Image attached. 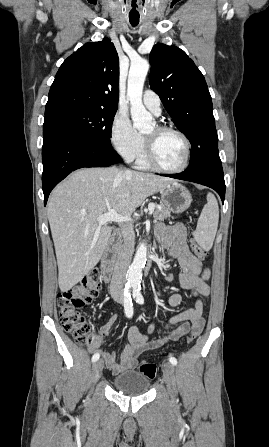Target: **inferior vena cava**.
Returning a JSON list of instances; mask_svg holds the SVG:
<instances>
[{
    "mask_svg": "<svg viewBox=\"0 0 269 447\" xmlns=\"http://www.w3.org/2000/svg\"><path fill=\"white\" fill-rule=\"evenodd\" d=\"M123 247L121 253L114 265L113 275L110 283L111 295H121L124 291V285L127 281V269L131 263L134 245L135 233L132 225H123Z\"/></svg>",
    "mask_w": 269,
    "mask_h": 447,
    "instance_id": "1",
    "label": "inferior vena cava"
}]
</instances>
